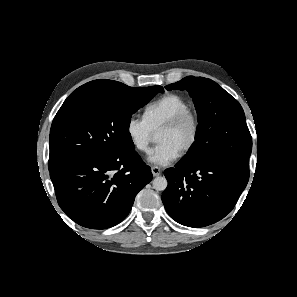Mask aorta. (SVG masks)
<instances>
[{"label": "aorta", "instance_id": "762f6f07", "mask_svg": "<svg viewBox=\"0 0 297 297\" xmlns=\"http://www.w3.org/2000/svg\"><path fill=\"white\" fill-rule=\"evenodd\" d=\"M152 184L154 189H156L157 191H163L166 189L168 182L165 177L158 176L153 180Z\"/></svg>", "mask_w": 297, "mask_h": 297}]
</instances>
